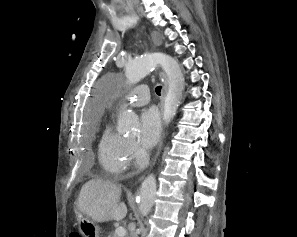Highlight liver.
<instances>
[{"label":"liver","instance_id":"obj_1","mask_svg":"<svg viewBox=\"0 0 297 237\" xmlns=\"http://www.w3.org/2000/svg\"><path fill=\"white\" fill-rule=\"evenodd\" d=\"M121 188L111 182L90 180L83 185L77 209L95 222L121 221L127 206L120 202Z\"/></svg>","mask_w":297,"mask_h":237}]
</instances>
